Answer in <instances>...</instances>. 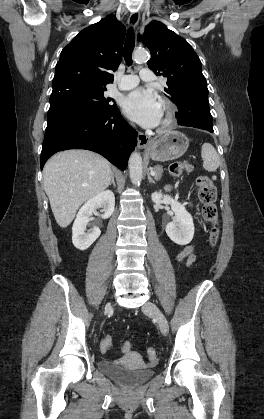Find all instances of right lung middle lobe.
<instances>
[{
	"instance_id": "dd1d6c3e",
	"label": "right lung middle lobe",
	"mask_w": 264,
	"mask_h": 419,
	"mask_svg": "<svg viewBox=\"0 0 264 419\" xmlns=\"http://www.w3.org/2000/svg\"><path fill=\"white\" fill-rule=\"evenodd\" d=\"M106 88L71 87L54 93L50 97L48 119L66 108H83L108 111L117 108L111 98L104 96Z\"/></svg>"
}]
</instances>
